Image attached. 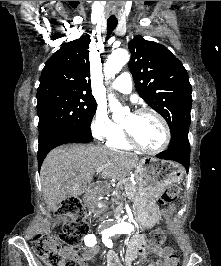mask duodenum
Returning <instances> with one entry per match:
<instances>
[{
  "mask_svg": "<svg viewBox=\"0 0 221 266\" xmlns=\"http://www.w3.org/2000/svg\"><path fill=\"white\" fill-rule=\"evenodd\" d=\"M104 192L99 190L96 186H89V188L86 191L85 197L88 200H92L94 198H96L97 196L102 195ZM88 206H97L98 202L97 201H88L87 202Z\"/></svg>",
  "mask_w": 221,
  "mask_h": 266,
  "instance_id": "410a0bca",
  "label": "duodenum"
}]
</instances>
